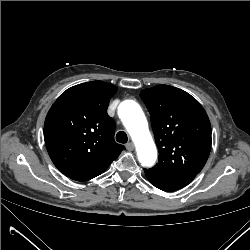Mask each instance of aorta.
Listing matches in <instances>:
<instances>
[{
  "instance_id": "1",
  "label": "aorta",
  "mask_w": 250,
  "mask_h": 250,
  "mask_svg": "<svg viewBox=\"0 0 250 250\" xmlns=\"http://www.w3.org/2000/svg\"><path fill=\"white\" fill-rule=\"evenodd\" d=\"M121 107L128 113L123 123L136 146L139 162L142 166H153L157 159V150L143 110L133 100L122 102Z\"/></svg>"
}]
</instances>
